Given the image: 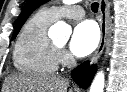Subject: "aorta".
Segmentation results:
<instances>
[{"label":"aorta","mask_w":127,"mask_h":92,"mask_svg":"<svg viewBox=\"0 0 127 92\" xmlns=\"http://www.w3.org/2000/svg\"><path fill=\"white\" fill-rule=\"evenodd\" d=\"M78 0H64L65 4H74ZM50 31L54 33L60 41L66 40V38L71 34V28L68 24L63 21H59L55 23L51 28ZM104 84H105V76L103 71H100L96 74L91 87L90 92H103L104 91Z\"/></svg>","instance_id":"762f6f07"}]
</instances>
